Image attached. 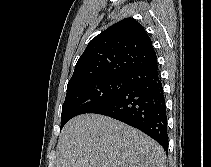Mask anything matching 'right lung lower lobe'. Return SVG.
<instances>
[{"instance_id": "right-lung-lower-lobe-1", "label": "right lung lower lobe", "mask_w": 211, "mask_h": 167, "mask_svg": "<svg viewBox=\"0 0 211 167\" xmlns=\"http://www.w3.org/2000/svg\"><path fill=\"white\" fill-rule=\"evenodd\" d=\"M128 87L93 113L131 125L156 140L167 151V115L157 60L127 76Z\"/></svg>"}]
</instances>
